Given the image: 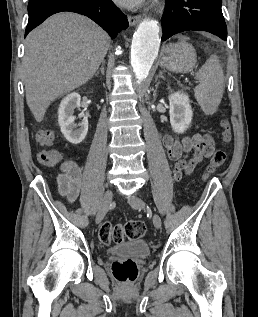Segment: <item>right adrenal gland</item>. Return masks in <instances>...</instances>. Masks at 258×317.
<instances>
[{
  "label": "right adrenal gland",
  "mask_w": 258,
  "mask_h": 317,
  "mask_svg": "<svg viewBox=\"0 0 258 317\" xmlns=\"http://www.w3.org/2000/svg\"><path fill=\"white\" fill-rule=\"evenodd\" d=\"M105 60H102V64L100 66L101 74H105ZM99 70H97L96 74H98Z\"/></svg>",
  "instance_id": "1"
}]
</instances>
